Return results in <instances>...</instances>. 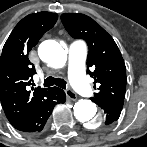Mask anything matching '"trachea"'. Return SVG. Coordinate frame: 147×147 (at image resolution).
I'll list each match as a JSON object with an SVG mask.
<instances>
[{"label":"trachea","mask_w":147,"mask_h":147,"mask_svg":"<svg viewBox=\"0 0 147 147\" xmlns=\"http://www.w3.org/2000/svg\"><path fill=\"white\" fill-rule=\"evenodd\" d=\"M43 85L45 87H50V86L56 85L60 88L66 89V82L63 79L54 78V77H51V76L44 80Z\"/></svg>","instance_id":"3493384b"}]
</instances>
